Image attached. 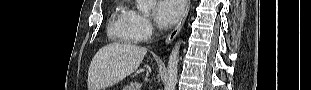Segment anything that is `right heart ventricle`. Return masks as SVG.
<instances>
[{"mask_svg": "<svg viewBox=\"0 0 311 90\" xmlns=\"http://www.w3.org/2000/svg\"><path fill=\"white\" fill-rule=\"evenodd\" d=\"M109 35L124 43H134L138 39L131 25V11L125 7H117L111 17Z\"/></svg>", "mask_w": 311, "mask_h": 90, "instance_id": "right-heart-ventricle-1", "label": "right heart ventricle"}]
</instances>
